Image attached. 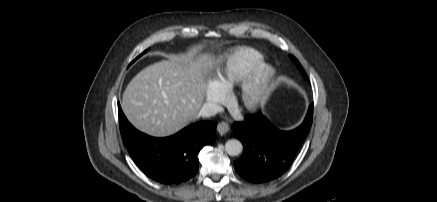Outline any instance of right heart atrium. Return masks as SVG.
<instances>
[{
	"label": "right heart atrium",
	"mask_w": 437,
	"mask_h": 202,
	"mask_svg": "<svg viewBox=\"0 0 437 202\" xmlns=\"http://www.w3.org/2000/svg\"><path fill=\"white\" fill-rule=\"evenodd\" d=\"M205 97L208 103L219 105L226 99L225 90L219 87L215 81H210L206 85Z\"/></svg>",
	"instance_id": "d8ad5b80"
}]
</instances>
